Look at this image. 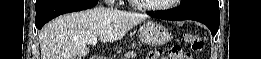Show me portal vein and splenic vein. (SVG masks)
<instances>
[{
  "instance_id": "obj_1",
  "label": "portal vein and splenic vein",
  "mask_w": 261,
  "mask_h": 59,
  "mask_svg": "<svg viewBox=\"0 0 261 59\" xmlns=\"http://www.w3.org/2000/svg\"><path fill=\"white\" fill-rule=\"evenodd\" d=\"M96 43H97V38H95V37L90 39V41H89V44L92 46H94Z\"/></svg>"
}]
</instances>
